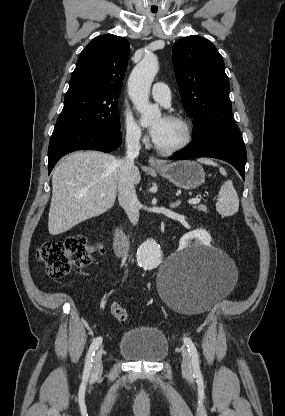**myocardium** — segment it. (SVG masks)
<instances>
[{
	"instance_id": "1",
	"label": "myocardium",
	"mask_w": 285,
	"mask_h": 416,
	"mask_svg": "<svg viewBox=\"0 0 285 416\" xmlns=\"http://www.w3.org/2000/svg\"><path fill=\"white\" fill-rule=\"evenodd\" d=\"M167 119L178 125L182 129V139L181 141L173 147L162 148L156 145V150L164 155H173L185 150L191 143L192 140V129L189 122L178 115H168Z\"/></svg>"
}]
</instances>
